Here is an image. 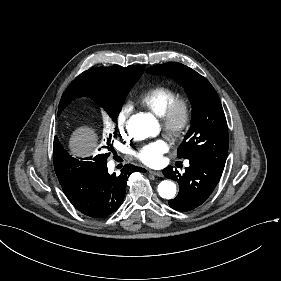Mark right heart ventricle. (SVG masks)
<instances>
[{
  "mask_svg": "<svg viewBox=\"0 0 281 281\" xmlns=\"http://www.w3.org/2000/svg\"><path fill=\"white\" fill-rule=\"evenodd\" d=\"M180 97V93L168 86H156L144 91L138 98V104L162 116L169 104Z\"/></svg>",
  "mask_w": 281,
  "mask_h": 281,
  "instance_id": "e07e8e85",
  "label": "right heart ventricle"
}]
</instances>
